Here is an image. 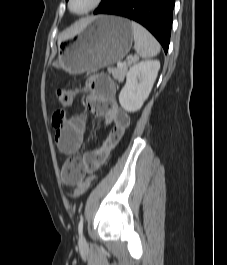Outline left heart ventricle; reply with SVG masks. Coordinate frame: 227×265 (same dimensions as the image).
Listing matches in <instances>:
<instances>
[{"label":"left heart ventricle","mask_w":227,"mask_h":265,"mask_svg":"<svg viewBox=\"0 0 227 265\" xmlns=\"http://www.w3.org/2000/svg\"><path fill=\"white\" fill-rule=\"evenodd\" d=\"M93 0H73L72 1V9L74 11H82L86 9Z\"/></svg>","instance_id":"left-heart-ventricle-1"}]
</instances>
